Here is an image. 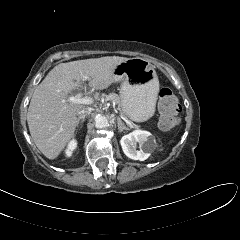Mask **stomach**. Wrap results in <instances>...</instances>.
Returning <instances> with one entry per match:
<instances>
[{"mask_svg": "<svg viewBox=\"0 0 240 240\" xmlns=\"http://www.w3.org/2000/svg\"><path fill=\"white\" fill-rule=\"evenodd\" d=\"M114 81L121 82V111L136 122H144L155 113L159 80L151 63L140 57L120 63Z\"/></svg>", "mask_w": 240, "mask_h": 240, "instance_id": "0dacf381", "label": "stomach"}]
</instances>
